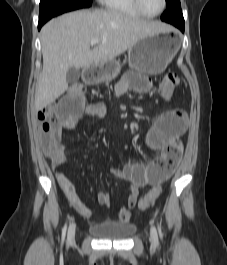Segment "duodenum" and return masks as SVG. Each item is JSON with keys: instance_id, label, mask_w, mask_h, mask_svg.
Masks as SVG:
<instances>
[{"instance_id": "obj_1", "label": "duodenum", "mask_w": 227, "mask_h": 265, "mask_svg": "<svg viewBox=\"0 0 227 265\" xmlns=\"http://www.w3.org/2000/svg\"><path fill=\"white\" fill-rule=\"evenodd\" d=\"M84 81L87 83H91L94 80V73L92 70L88 69L84 72L83 75Z\"/></svg>"}]
</instances>
